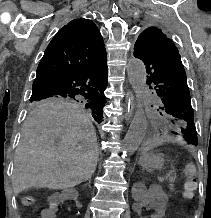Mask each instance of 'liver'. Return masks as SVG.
I'll return each instance as SVG.
<instances>
[{
    "label": "liver",
    "mask_w": 211,
    "mask_h": 218,
    "mask_svg": "<svg viewBox=\"0 0 211 218\" xmlns=\"http://www.w3.org/2000/svg\"><path fill=\"white\" fill-rule=\"evenodd\" d=\"M98 146L89 116L73 106L36 108L24 122L15 156V192L64 190L89 180Z\"/></svg>",
    "instance_id": "obj_1"
}]
</instances>
